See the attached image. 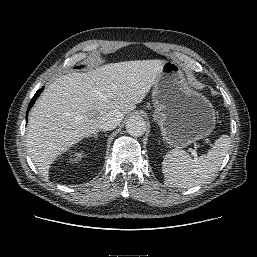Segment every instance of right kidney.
Returning a JSON list of instances; mask_svg holds the SVG:
<instances>
[{"instance_id": "obj_1", "label": "right kidney", "mask_w": 257, "mask_h": 257, "mask_svg": "<svg viewBox=\"0 0 257 257\" xmlns=\"http://www.w3.org/2000/svg\"><path fill=\"white\" fill-rule=\"evenodd\" d=\"M73 157H75L76 159L81 158L82 154L81 153H75V154H73Z\"/></svg>"}]
</instances>
